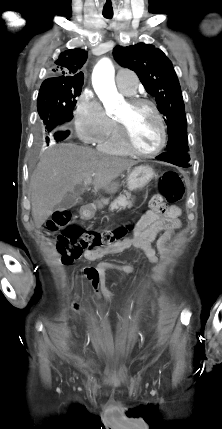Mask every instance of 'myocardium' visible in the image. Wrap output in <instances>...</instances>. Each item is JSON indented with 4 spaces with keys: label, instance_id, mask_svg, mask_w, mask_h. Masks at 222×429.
Returning <instances> with one entry per match:
<instances>
[{
    "label": "myocardium",
    "instance_id": "f54148a6",
    "mask_svg": "<svg viewBox=\"0 0 222 429\" xmlns=\"http://www.w3.org/2000/svg\"><path fill=\"white\" fill-rule=\"evenodd\" d=\"M127 103L131 108L145 106V107H148L153 112L160 128V143H159V146L151 152H143L139 150L134 145L131 139V135H130V131L127 123L123 120L117 119L116 123L118 125L119 135L124 147L127 149L128 152L138 157L153 158L158 156L164 150L167 143V127L163 116L161 115L156 105L152 101L146 98L132 97L127 101Z\"/></svg>",
    "mask_w": 222,
    "mask_h": 429
}]
</instances>
